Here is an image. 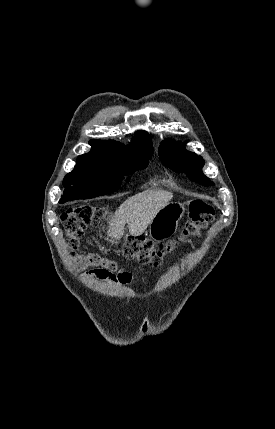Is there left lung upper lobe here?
<instances>
[{
  "label": "left lung upper lobe",
  "mask_w": 275,
  "mask_h": 429,
  "mask_svg": "<svg viewBox=\"0 0 275 429\" xmlns=\"http://www.w3.org/2000/svg\"><path fill=\"white\" fill-rule=\"evenodd\" d=\"M159 156L162 163L175 172H185L190 180L201 185H213L202 173L204 160L193 152L184 150L180 144L167 139L159 147Z\"/></svg>",
  "instance_id": "left-lung-upper-lobe-1"
}]
</instances>
